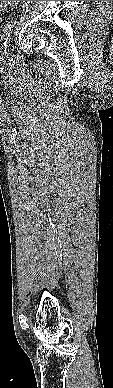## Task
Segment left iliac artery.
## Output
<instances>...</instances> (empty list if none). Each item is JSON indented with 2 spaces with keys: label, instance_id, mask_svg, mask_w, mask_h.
I'll list each match as a JSON object with an SVG mask.
<instances>
[{
  "label": "left iliac artery",
  "instance_id": "obj_1",
  "mask_svg": "<svg viewBox=\"0 0 113 388\" xmlns=\"http://www.w3.org/2000/svg\"><path fill=\"white\" fill-rule=\"evenodd\" d=\"M12 28H13L12 22H8L4 26L2 33L0 34V37H1L0 49H1V51H5L7 48V42H8V39L10 37V34L12 32Z\"/></svg>",
  "mask_w": 113,
  "mask_h": 388
}]
</instances>
